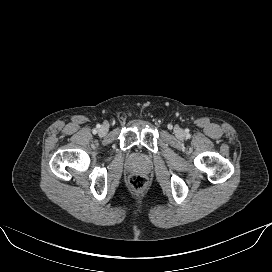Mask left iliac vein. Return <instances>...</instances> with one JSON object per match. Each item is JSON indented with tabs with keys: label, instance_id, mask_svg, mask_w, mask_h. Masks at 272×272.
Listing matches in <instances>:
<instances>
[{
	"label": "left iliac vein",
	"instance_id": "obj_1",
	"mask_svg": "<svg viewBox=\"0 0 272 272\" xmlns=\"http://www.w3.org/2000/svg\"><path fill=\"white\" fill-rule=\"evenodd\" d=\"M181 133H182V132H181L180 130L177 131V134H178V135H181Z\"/></svg>",
	"mask_w": 272,
	"mask_h": 272
}]
</instances>
